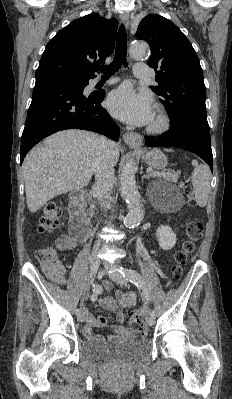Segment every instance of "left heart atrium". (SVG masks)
I'll return each instance as SVG.
<instances>
[{"mask_svg":"<svg viewBox=\"0 0 232 399\" xmlns=\"http://www.w3.org/2000/svg\"><path fill=\"white\" fill-rule=\"evenodd\" d=\"M106 106L116 119L139 127L149 125L155 115L150 97L145 93L138 94L128 86L113 91Z\"/></svg>","mask_w":232,"mask_h":399,"instance_id":"1","label":"left heart atrium"}]
</instances>
